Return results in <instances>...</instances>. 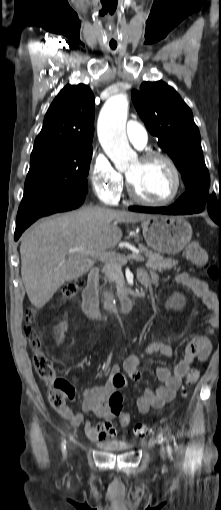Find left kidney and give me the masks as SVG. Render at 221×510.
<instances>
[{"instance_id":"obj_1","label":"left kidney","mask_w":221,"mask_h":510,"mask_svg":"<svg viewBox=\"0 0 221 510\" xmlns=\"http://www.w3.org/2000/svg\"><path fill=\"white\" fill-rule=\"evenodd\" d=\"M186 304L185 297L180 294H174L169 298V300L165 303L166 308H173L175 310H181Z\"/></svg>"}]
</instances>
